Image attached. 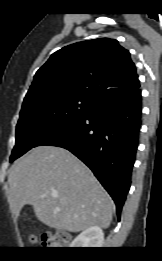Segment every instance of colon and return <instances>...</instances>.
<instances>
[{
  "mask_svg": "<svg viewBox=\"0 0 162 261\" xmlns=\"http://www.w3.org/2000/svg\"><path fill=\"white\" fill-rule=\"evenodd\" d=\"M31 241L35 242L36 238L31 237ZM42 244L46 248L59 250L67 246V241L57 233H48L43 237Z\"/></svg>",
  "mask_w": 162,
  "mask_h": 261,
  "instance_id": "5ec220e1",
  "label": "colon"
}]
</instances>
